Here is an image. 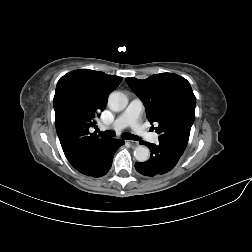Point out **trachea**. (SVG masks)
Here are the masks:
<instances>
[{
    "label": "trachea",
    "mask_w": 252,
    "mask_h": 252,
    "mask_svg": "<svg viewBox=\"0 0 252 252\" xmlns=\"http://www.w3.org/2000/svg\"><path fill=\"white\" fill-rule=\"evenodd\" d=\"M97 133H99L100 135H103V136H106V137H113L115 135V133L113 131H100L99 129H96ZM122 137L124 139H127V140H135V141H138L139 140V137L133 135V134H130V133H124L122 134Z\"/></svg>",
    "instance_id": "trachea-1"
}]
</instances>
